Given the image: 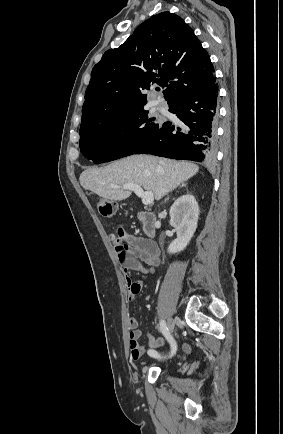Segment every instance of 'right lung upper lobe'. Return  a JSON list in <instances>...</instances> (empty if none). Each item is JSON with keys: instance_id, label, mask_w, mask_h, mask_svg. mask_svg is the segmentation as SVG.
I'll return each instance as SVG.
<instances>
[{"instance_id": "1", "label": "right lung upper lobe", "mask_w": 283, "mask_h": 434, "mask_svg": "<svg viewBox=\"0 0 283 434\" xmlns=\"http://www.w3.org/2000/svg\"><path fill=\"white\" fill-rule=\"evenodd\" d=\"M213 72L207 51L181 17L170 12L154 15L94 66L80 130L144 107L147 95L141 91L151 83L167 87L170 105L213 84Z\"/></svg>"}]
</instances>
